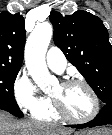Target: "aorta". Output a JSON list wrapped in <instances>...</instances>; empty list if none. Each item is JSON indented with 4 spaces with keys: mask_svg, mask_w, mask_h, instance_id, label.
Segmentation results:
<instances>
[{
    "mask_svg": "<svg viewBox=\"0 0 112 135\" xmlns=\"http://www.w3.org/2000/svg\"><path fill=\"white\" fill-rule=\"evenodd\" d=\"M52 35V26L48 23H43L33 30L27 39L25 47L27 70L37 86L42 90L49 88L55 80L50 75L45 60Z\"/></svg>",
    "mask_w": 112,
    "mask_h": 135,
    "instance_id": "aorta-1",
    "label": "aorta"
}]
</instances>
